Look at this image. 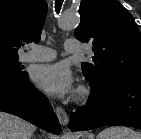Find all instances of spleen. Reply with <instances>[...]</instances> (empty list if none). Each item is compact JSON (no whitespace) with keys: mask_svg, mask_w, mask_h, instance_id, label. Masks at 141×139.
Listing matches in <instances>:
<instances>
[{"mask_svg":"<svg viewBox=\"0 0 141 139\" xmlns=\"http://www.w3.org/2000/svg\"><path fill=\"white\" fill-rule=\"evenodd\" d=\"M97 139H141V134L127 127L114 126L101 131Z\"/></svg>","mask_w":141,"mask_h":139,"instance_id":"1","label":"spleen"}]
</instances>
